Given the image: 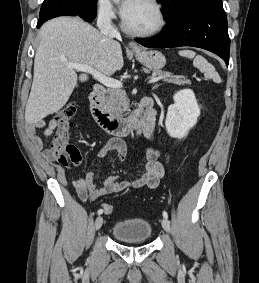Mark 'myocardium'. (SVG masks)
Returning <instances> with one entry per match:
<instances>
[{
	"label": "myocardium",
	"instance_id": "f54148a6",
	"mask_svg": "<svg viewBox=\"0 0 259 283\" xmlns=\"http://www.w3.org/2000/svg\"><path fill=\"white\" fill-rule=\"evenodd\" d=\"M145 1L148 2L150 5H152L154 9L156 10L157 15H158V23L154 28L149 29V30H144V31L134 30L127 25L125 18L123 17L122 23H121L122 29L131 36L151 37V36L159 34L166 25V22H167L166 15H165L162 5L158 2V0H145Z\"/></svg>",
	"mask_w": 259,
	"mask_h": 283
}]
</instances>
